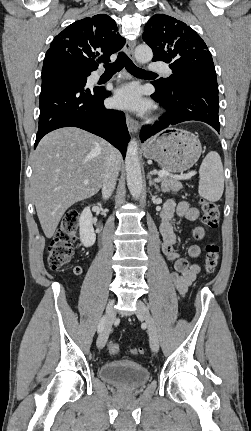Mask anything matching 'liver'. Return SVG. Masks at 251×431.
<instances>
[{"label": "liver", "mask_w": 251, "mask_h": 431, "mask_svg": "<svg viewBox=\"0 0 251 431\" xmlns=\"http://www.w3.org/2000/svg\"><path fill=\"white\" fill-rule=\"evenodd\" d=\"M112 148L104 139L75 127L57 129L40 141L33 156L31 189L47 238L68 208L100 190ZM115 156L119 167L122 156L117 150Z\"/></svg>", "instance_id": "liver-1"}]
</instances>
